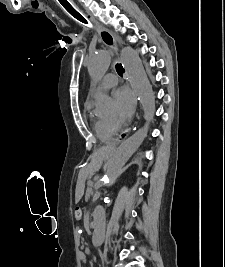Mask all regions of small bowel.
<instances>
[{"instance_id":"small-bowel-1","label":"small bowel","mask_w":225,"mask_h":267,"mask_svg":"<svg viewBox=\"0 0 225 267\" xmlns=\"http://www.w3.org/2000/svg\"><path fill=\"white\" fill-rule=\"evenodd\" d=\"M79 258H80V260H81L83 263H85L86 260H87L86 255H85V253H83V252H81V253L79 254Z\"/></svg>"}]
</instances>
